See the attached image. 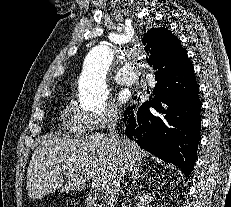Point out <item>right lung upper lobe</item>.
<instances>
[{"mask_svg": "<svg viewBox=\"0 0 231 207\" xmlns=\"http://www.w3.org/2000/svg\"><path fill=\"white\" fill-rule=\"evenodd\" d=\"M142 41L149 55L147 61L156 70L165 66H180L190 61L177 37L164 27L155 28L151 36ZM159 62L163 65L156 67L155 64Z\"/></svg>", "mask_w": 231, "mask_h": 207, "instance_id": "1", "label": "right lung upper lobe"}]
</instances>
